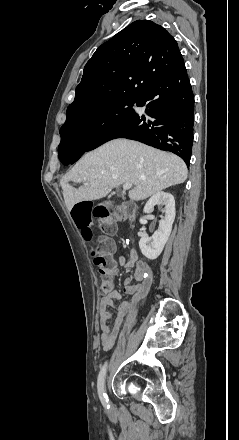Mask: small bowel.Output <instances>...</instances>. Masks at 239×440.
Here are the masks:
<instances>
[{
  "instance_id": "c3829d8e",
  "label": "small bowel",
  "mask_w": 239,
  "mask_h": 440,
  "mask_svg": "<svg viewBox=\"0 0 239 440\" xmlns=\"http://www.w3.org/2000/svg\"><path fill=\"white\" fill-rule=\"evenodd\" d=\"M115 230L112 231V233ZM119 265L124 269L134 268V277L126 278L123 283V289L126 293L135 294L136 297L130 303V307L134 308L139 302H142L149 290L151 283V273L148 264L138 257L135 250L131 251L130 260L126 261L123 256L118 259ZM133 279L142 281L139 285H133ZM121 295L115 288L114 280L112 279L106 289L103 290V296L100 302V329H101V343L104 350H109L115 343L123 324V315L127 310L124 304L116 306L117 316L115 317L112 326H109L108 321L112 318V314L108 311V307L114 306L116 300H120Z\"/></svg>"
}]
</instances>
